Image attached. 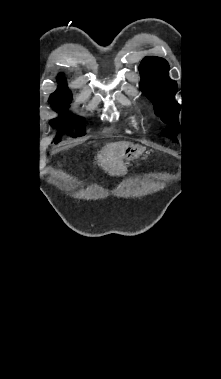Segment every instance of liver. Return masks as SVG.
<instances>
[{"label": "liver", "mask_w": 221, "mask_h": 379, "mask_svg": "<svg viewBox=\"0 0 221 379\" xmlns=\"http://www.w3.org/2000/svg\"><path fill=\"white\" fill-rule=\"evenodd\" d=\"M129 142H114L106 144L97 154L99 165L110 175L124 173V152L130 146Z\"/></svg>", "instance_id": "6515ba94"}]
</instances>
